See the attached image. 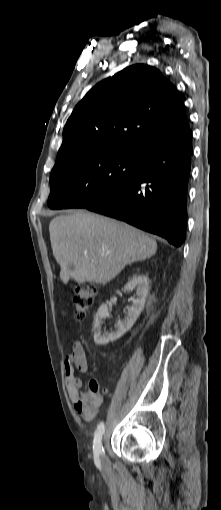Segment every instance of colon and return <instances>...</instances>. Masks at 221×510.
Segmentation results:
<instances>
[{"label": "colon", "instance_id": "colon-1", "mask_svg": "<svg viewBox=\"0 0 221 510\" xmlns=\"http://www.w3.org/2000/svg\"><path fill=\"white\" fill-rule=\"evenodd\" d=\"M96 295V288L93 286H81L78 288L74 299V318L77 321H83L92 304ZM83 400L90 410L98 409L102 403V395L100 392L99 384L96 380L89 382V391L83 395Z\"/></svg>", "mask_w": 221, "mask_h": 510}]
</instances>
